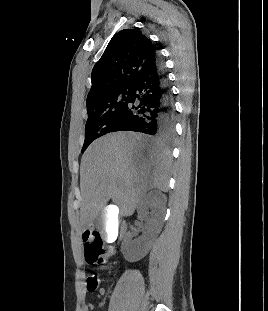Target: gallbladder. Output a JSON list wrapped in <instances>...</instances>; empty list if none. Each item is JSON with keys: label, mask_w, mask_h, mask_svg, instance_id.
I'll list each match as a JSON object with an SVG mask.
<instances>
[{"label": "gallbladder", "mask_w": 268, "mask_h": 311, "mask_svg": "<svg viewBox=\"0 0 268 311\" xmlns=\"http://www.w3.org/2000/svg\"><path fill=\"white\" fill-rule=\"evenodd\" d=\"M119 211L117 202H108L95 221V226L100 230V234H103L104 239H109L107 242L109 245L112 243V239L119 238V227L117 226Z\"/></svg>", "instance_id": "obj_1"}]
</instances>
